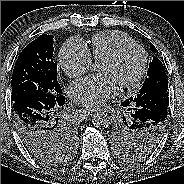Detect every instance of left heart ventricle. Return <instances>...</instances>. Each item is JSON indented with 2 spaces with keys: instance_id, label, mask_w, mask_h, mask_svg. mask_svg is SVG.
I'll list each match as a JSON object with an SVG mask.
<instances>
[{
  "instance_id": "b2bd125f",
  "label": "left heart ventricle",
  "mask_w": 184,
  "mask_h": 184,
  "mask_svg": "<svg viewBox=\"0 0 184 184\" xmlns=\"http://www.w3.org/2000/svg\"><path fill=\"white\" fill-rule=\"evenodd\" d=\"M141 63V57L138 52L130 51L122 59L115 63L101 61L98 66V72L112 76L120 85L130 80L137 72Z\"/></svg>"
}]
</instances>
